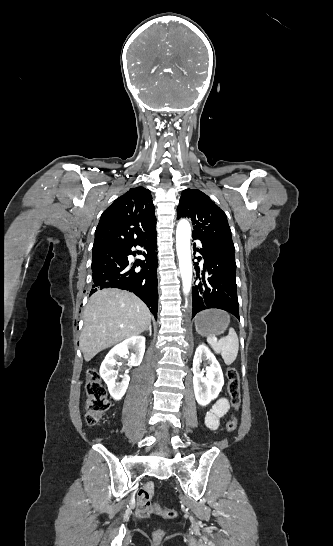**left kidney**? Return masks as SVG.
<instances>
[{
	"label": "left kidney",
	"mask_w": 333,
	"mask_h": 546,
	"mask_svg": "<svg viewBox=\"0 0 333 546\" xmlns=\"http://www.w3.org/2000/svg\"><path fill=\"white\" fill-rule=\"evenodd\" d=\"M202 360H207L209 364L205 371L200 369ZM192 370L196 400L200 405L205 406L218 396L224 384L220 364L205 344L197 347ZM204 372H206L205 376Z\"/></svg>",
	"instance_id": "obj_1"
}]
</instances>
